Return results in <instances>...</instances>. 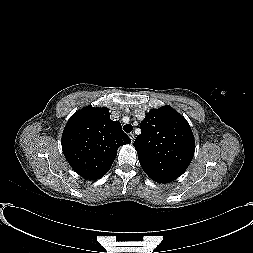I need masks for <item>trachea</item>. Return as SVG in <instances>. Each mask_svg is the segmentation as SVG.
<instances>
[{
	"label": "trachea",
	"mask_w": 253,
	"mask_h": 253,
	"mask_svg": "<svg viewBox=\"0 0 253 253\" xmlns=\"http://www.w3.org/2000/svg\"><path fill=\"white\" fill-rule=\"evenodd\" d=\"M123 130L126 132V133H130L132 130H133V127L132 125L130 124H126L123 126Z\"/></svg>",
	"instance_id": "3493384b"
}]
</instances>
